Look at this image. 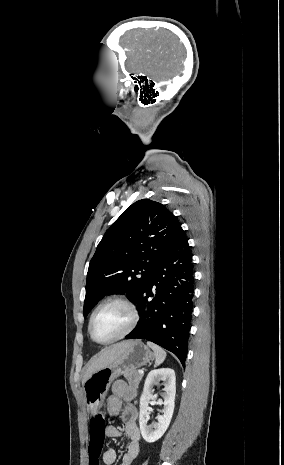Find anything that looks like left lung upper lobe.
<instances>
[{"label": "left lung upper lobe", "instance_id": "obj_1", "mask_svg": "<svg viewBox=\"0 0 284 465\" xmlns=\"http://www.w3.org/2000/svg\"><path fill=\"white\" fill-rule=\"evenodd\" d=\"M180 228L177 217L161 203L142 199L128 207L104 234L90 261L84 316L112 292H126L136 302Z\"/></svg>", "mask_w": 284, "mask_h": 465}]
</instances>
